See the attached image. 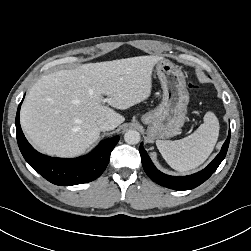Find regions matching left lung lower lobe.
Segmentation results:
<instances>
[{
    "label": "left lung lower lobe",
    "mask_w": 251,
    "mask_h": 251,
    "mask_svg": "<svg viewBox=\"0 0 251 251\" xmlns=\"http://www.w3.org/2000/svg\"><path fill=\"white\" fill-rule=\"evenodd\" d=\"M230 142V131L220 153L215 159L203 170L188 176L176 177L169 176L160 172L152 163L147 152L143 148V143L139 147L141 161L146 174L157 184L174 189V190H190L204 181H206L218 168L222 160L225 158Z\"/></svg>",
    "instance_id": "obj_1"
}]
</instances>
